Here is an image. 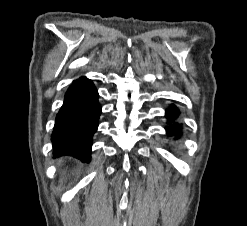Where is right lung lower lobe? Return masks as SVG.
<instances>
[{
  "label": "right lung lower lobe",
  "mask_w": 247,
  "mask_h": 226,
  "mask_svg": "<svg viewBox=\"0 0 247 226\" xmlns=\"http://www.w3.org/2000/svg\"><path fill=\"white\" fill-rule=\"evenodd\" d=\"M100 113L98 92L91 80L81 77L73 81L51 135L54 155H72L88 161Z\"/></svg>",
  "instance_id": "98d812e1"
}]
</instances>
